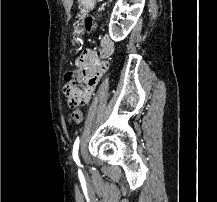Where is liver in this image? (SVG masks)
<instances>
[{"mask_svg": "<svg viewBox=\"0 0 217 202\" xmlns=\"http://www.w3.org/2000/svg\"><path fill=\"white\" fill-rule=\"evenodd\" d=\"M62 2H63L64 6L66 8L67 14H69V12H70V10H71V8L73 6V0H62Z\"/></svg>", "mask_w": 217, "mask_h": 202, "instance_id": "liver-1", "label": "liver"}]
</instances>
